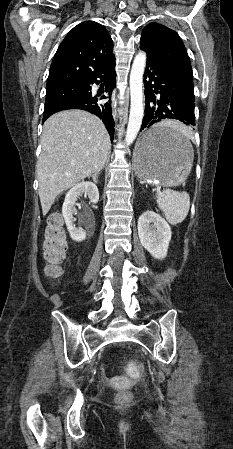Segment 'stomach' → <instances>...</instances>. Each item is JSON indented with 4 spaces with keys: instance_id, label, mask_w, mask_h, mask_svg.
Wrapping results in <instances>:
<instances>
[{
    "instance_id": "1",
    "label": "stomach",
    "mask_w": 233,
    "mask_h": 449,
    "mask_svg": "<svg viewBox=\"0 0 233 449\" xmlns=\"http://www.w3.org/2000/svg\"><path fill=\"white\" fill-rule=\"evenodd\" d=\"M193 161V149L185 133L159 123L146 128L137 142L133 164L144 181L176 185L188 173Z\"/></svg>"
}]
</instances>
